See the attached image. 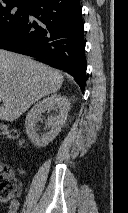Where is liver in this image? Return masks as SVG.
Instances as JSON below:
<instances>
[{"instance_id":"1","label":"liver","mask_w":128,"mask_h":213,"mask_svg":"<svg viewBox=\"0 0 128 213\" xmlns=\"http://www.w3.org/2000/svg\"><path fill=\"white\" fill-rule=\"evenodd\" d=\"M63 76L30 57L0 49V119L14 121L33 103L57 92Z\"/></svg>"}]
</instances>
